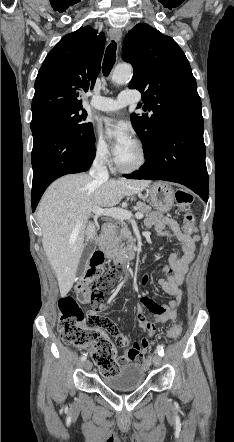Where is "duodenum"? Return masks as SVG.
<instances>
[{
	"label": "duodenum",
	"mask_w": 234,
	"mask_h": 442,
	"mask_svg": "<svg viewBox=\"0 0 234 442\" xmlns=\"http://www.w3.org/2000/svg\"><path fill=\"white\" fill-rule=\"evenodd\" d=\"M112 227L110 224H105L102 228V236L100 239L101 251L107 255L114 264H124L128 260L133 259L139 253V248L136 244H132L123 249H116L110 243V234Z\"/></svg>",
	"instance_id": "1"
}]
</instances>
